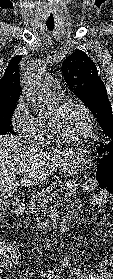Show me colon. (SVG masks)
<instances>
[{"label": "colon", "instance_id": "colon-1", "mask_svg": "<svg viewBox=\"0 0 113 279\" xmlns=\"http://www.w3.org/2000/svg\"><path fill=\"white\" fill-rule=\"evenodd\" d=\"M99 164L96 170V181L99 190L103 193L113 195V144H104L97 150ZM21 253L16 248H4L0 243V276L4 267L13 262L18 263Z\"/></svg>", "mask_w": 113, "mask_h": 279}]
</instances>
